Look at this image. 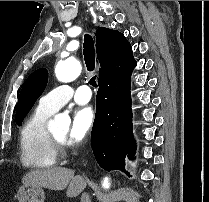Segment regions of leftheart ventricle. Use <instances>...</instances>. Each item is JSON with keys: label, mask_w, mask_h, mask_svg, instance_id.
Masks as SVG:
<instances>
[{"label": "left heart ventricle", "mask_w": 209, "mask_h": 202, "mask_svg": "<svg viewBox=\"0 0 209 202\" xmlns=\"http://www.w3.org/2000/svg\"><path fill=\"white\" fill-rule=\"evenodd\" d=\"M66 134H67V129L59 130L53 133V135L56 136L57 138L64 140L66 138Z\"/></svg>", "instance_id": "1"}]
</instances>
